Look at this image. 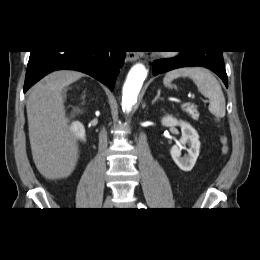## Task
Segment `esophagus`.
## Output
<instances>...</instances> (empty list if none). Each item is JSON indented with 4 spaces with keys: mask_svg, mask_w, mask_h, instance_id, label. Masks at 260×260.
Here are the masks:
<instances>
[{
    "mask_svg": "<svg viewBox=\"0 0 260 260\" xmlns=\"http://www.w3.org/2000/svg\"><path fill=\"white\" fill-rule=\"evenodd\" d=\"M127 57L131 62L137 61L139 59V56L134 52L127 53Z\"/></svg>",
    "mask_w": 260,
    "mask_h": 260,
    "instance_id": "34e87169",
    "label": "esophagus"
}]
</instances>
